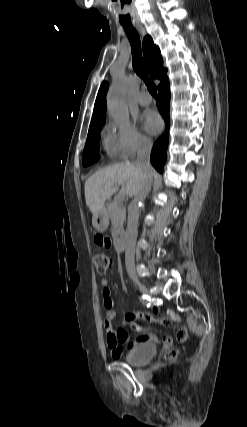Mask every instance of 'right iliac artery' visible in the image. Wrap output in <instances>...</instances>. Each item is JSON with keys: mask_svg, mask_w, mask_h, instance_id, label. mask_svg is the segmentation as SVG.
Returning a JSON list of instances; mask_svg holds the SVG:
<instances>
[{"mask_svg": "<svg viewBox=\"0 0 247 427\" xmlns=\"http://www.w3.org/2000/svg\"><path fill=\"white\" fill-rule=\"evenodd\" d=\"M140 300L142 301V303H143L145 306H147V307H149V306H150V298H149L148 296L143 295V296H141V297H140Z\"/></svg>", "mask_w": 247, "mask_h": 427, "instance_id": "right-iliac-artery-1", "label": "right iliac artery"}]
</instances>
